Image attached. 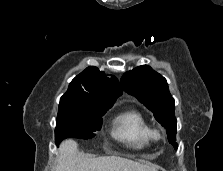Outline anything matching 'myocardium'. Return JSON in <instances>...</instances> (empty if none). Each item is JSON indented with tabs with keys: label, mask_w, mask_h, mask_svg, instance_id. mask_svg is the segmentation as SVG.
I'll return each mask as SVG.
<instances>
[{
	"label": "myocardium",
	"mask_w": 223,
	"mask_h": 171,
	"mask_svg": "<svg viewBox=\"0 0 223 171\" xmlns=\"http://www.w3.org/2000/svg\"><path fill=\"white\" fill-rule=\"evenodd\" d=\"M151 138L153 140H161L163 138L162 130L157 128L151 129Z\"/></svg>",
	"instance_id": "f54148a6"
}]
</instances>
